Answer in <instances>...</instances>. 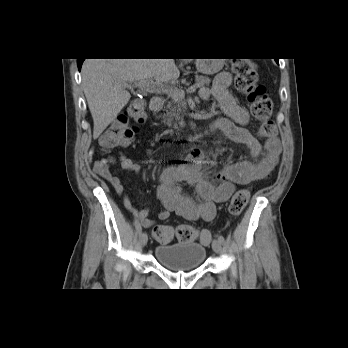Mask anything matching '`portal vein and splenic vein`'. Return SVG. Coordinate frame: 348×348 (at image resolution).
I'll return each mask as SVG.
<instances>
[{
    "label": "portal vein and splenic vein",
    "instance_id": "18ae733b",
    "mask_svg": "<svg viewBox=\"0 0 348 348\" xmlns=\"http://www.w3.org/2000/svg\"><path fill=\"white\" fill-rule=\"evenodd\" d=\"M136 87L144 89L150 92L166 93L173 97L175 101H180L185 97V91L176 87L165 85L162 83L154 82L153 80H140L134 83ZM126 87H131V84H125ZM196 91L195 86H191L186 89V93H194Z\"/></svg>",
    "mask_w": 348,
    "mask_h": 348
}]
</instances>
